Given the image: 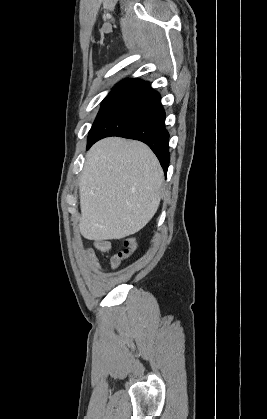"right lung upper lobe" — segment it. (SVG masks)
Returning a JSON list of instances; mask_svg holds the SVG:
<instances>
[{"instance_id": "1", "label": "right lung upper lobe", "mask_w": 267, "mask_h": 419, "mask_svg": "<svg viewBox=\"0 0 267 419\" xmlns=\"http://www.w3.org/2000/svg\"><path fill=\"white\" fill-rule=\"evenodd\" d=\"M145 81L137 80V79H126L120 82L117 86H115L112 92H122L129 94L130 92L136 90L138 87L143 85Z\"/></svg>"}]
</instances>
